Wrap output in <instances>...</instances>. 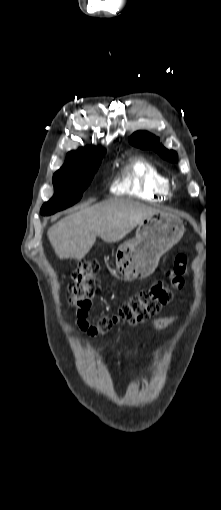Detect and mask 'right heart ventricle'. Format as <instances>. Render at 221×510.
Instances as JSON below:
<instances>
[{"label":"right heart ventricle","instance_id":"right-heart-ventricle-1","mask_svg":"<svg viewBox=\"0 0 221 510\" xmlns=\"http://www.w3.org/2000/svg\"><path fill=\"white\" fill-rule=\"evenodd\" d=\"M168 177L153 163L142 158L131 159L115 180L111 191L116 195L161 202L169 195Z\"/></svg>","mask_w":221,"mask_h":510}]
</instances>
